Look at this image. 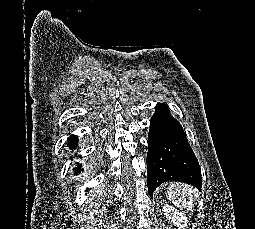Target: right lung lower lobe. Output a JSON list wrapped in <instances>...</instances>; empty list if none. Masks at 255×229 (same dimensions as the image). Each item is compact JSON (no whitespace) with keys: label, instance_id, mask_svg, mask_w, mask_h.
Wrapping results in <instances>:
<instances>
[{"label":"right lung lower lobe","instance_id":"obj_1","mask_svg":"<svg viewBox=\"0 0 255 229\" xmlns=\"http://www.w3.org/2000/svg\"><path fill=\"white\" fill-rule=\"evenodd\" d=\"M78 145V139L76 136L72 135L69 139H68V146L70 149H75ZM75 174H79L80 172H83V169H82V164L80 163H77L75 169Z\"/></svg>","mask_w":255,"mask_h":229}]
</instances>
